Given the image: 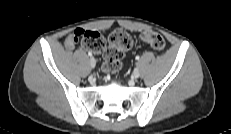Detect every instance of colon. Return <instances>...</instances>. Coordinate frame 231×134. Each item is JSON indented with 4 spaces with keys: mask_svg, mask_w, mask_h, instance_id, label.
<instances>
[{
    "mask_svg": "<svg viewBox=\"0 0 231 134\" xmlns=\"http://www.w3.org/2000/svg\"><path fill=\"white\" fill-rule=\"evenodd\" d=\"M73 39L80 41L85 48L95 53L103 51L104 69L110 73L119 71L124 52L132 45L130 35L122 29H116L110 34L108 46L104 36L98 31L76 29L73 32ZM141 39L154 50L162 51L165 48V40L157 32L145 31Z\"/></svg>",
    "mask_w": 231,
    "mask_h": 134,
    "instance_id": "colon-1",
    "label": "colon"
}]
</instances>
